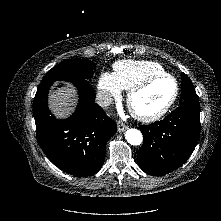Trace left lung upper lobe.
Here are the masks:
<instances>
[{"instance_id":"obj_1","label":"left lung upper lobe","mask_w":221,"mask_h":221,"mask_svg":"<svg viewBox=\"0 0 221 221\" xmlns=\"http://www.w3.org/2000/svg\"><path fill=\"white\" fill-rule=\"evenodd\" d=\"M182 92L181 98L179 101V106H196L200 107L199 105V98L195 92L193 84L189 77L185 74L182 75Z\"/></svg>"}]
</instances>
